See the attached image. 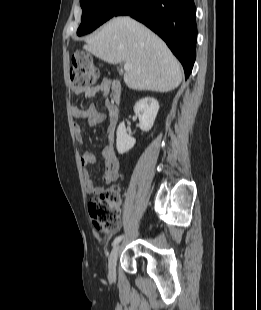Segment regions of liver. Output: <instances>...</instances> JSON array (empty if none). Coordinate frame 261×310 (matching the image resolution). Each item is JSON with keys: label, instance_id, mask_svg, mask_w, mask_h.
I'll return each instance as SVG.
<instances>
[{"label": "liver", "instance_id": "6515ba94", "mask_svg": "<svg viewBox=\"0 0 261 310\" xmlns=\"http://www.w3.org/2000/svg\"><path fill=\"white\" fill-rule=\"evenodd\" d=\"M83 49L110 64H130L123 79L133 90L169 92L182 81L181 65L167 45L130 17L108 21L86 39Z\"/></svg>", "mask_w": 261, "mask_h": 310}]
</instances>
